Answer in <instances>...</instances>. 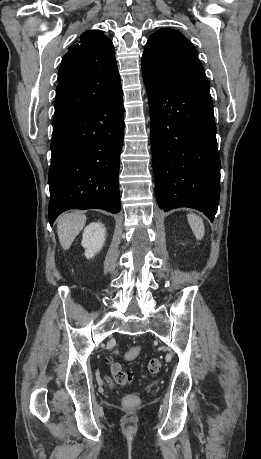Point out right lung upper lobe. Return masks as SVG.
Instances as JSON below:
<instances>
[{
  "instance_id": "1",
  "label": "right lung upper lobe",
  "mask_w": 261,
  "mask_h": 459,
  "mask_svg": "<svg viewBox=\"0 0 261 459\" xmlns=\"http://www.w3.org/2000/svg\"><path fill=\"white\" fill-rule=\"evenodd\" d=\"M120 87L112 42L100 30L84 32L60 65L53 126L100 104Z\"/></svg>"
}]
</instances>
